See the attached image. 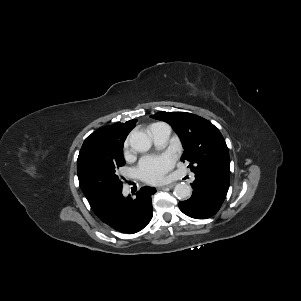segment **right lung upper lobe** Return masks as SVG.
<instances>
[{
  "instance_id": "1",
  "label": "right lung upper lobe",
  "mask_w": 301,
  "mask_h": 301,
  "mask_svg": "<svg viewBox=\"0 0 301 301\" xmlns=\"http://www.w3.org/2000/svg\"><path fill=\"white\" fill-rule=\"evenodd\" d=\"M136 122L137 120L133 119L126 123H115L101 127L85 139L82 147L93 141L123 146L126 136L135 127Z\"/></svg>"
}]
</instances>
